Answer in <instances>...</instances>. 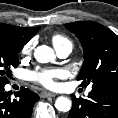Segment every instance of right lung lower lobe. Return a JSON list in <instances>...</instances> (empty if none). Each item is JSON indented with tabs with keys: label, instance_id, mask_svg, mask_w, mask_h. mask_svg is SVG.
Returning <instances> with one entry per match:
<instances>
[{
	"label": "right lung lower lobe",
	"instance_id": "right-lung-lower-lobe-1",
	"mask_svg": "<svg viewBox=\"0 0 118 118\" xmlns=\"http://www.w3.org/2000/svg\"><path fill=\"white\" fill-rule=\"evenodd\" d=\"M4 86H0V118H30L39 96L30 89L21 87L12 98L11 92H6Z\"/></svg>",
	"mask_w": 118,
	"mask_h": 118
}]
</instances>
